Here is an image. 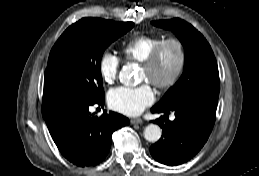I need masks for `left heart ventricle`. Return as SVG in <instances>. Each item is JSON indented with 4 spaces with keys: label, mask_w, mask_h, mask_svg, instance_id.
<instances>
[{
    "label": "left heart ventricle",
    "mask_w": 259,
    "mask_h": 176,
    "mask_svg": "<svg viewBox=\"0 0 259 176\" xmlns=\"http://www.w3.org/2000/svg\"><path fill=\"white\" fill-rule=\"evenodd\" d=\"M178 62V51L175 46H167L160 58L156 71L151 72L144 67L141 68L140 78L142 81H151L155 77L168 78L175 70Z\"/></svg>",
    "instance_id": "obj_1"
}]
</instances>
